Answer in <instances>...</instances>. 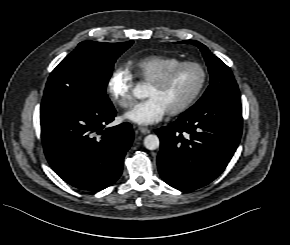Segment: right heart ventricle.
I'll return each instance as SVG.
<instances>
[{
  "label": "right heart ventricle",
  "instance_id": "1",
  "mask_svg": "<svg viewBox=\"0 0 290 245\" xmlns=\"http://www.w3.org/2000/svg\"><path fill=\"white\" fill-rule=\"evenodd\" d=\"M179 62H181V60L173 56L151 55L129 61L127 63V69L132 76L140 81L149 82L161 71Z\"/></svg>",
  "mask_w": 290,
  "mask_h": 245
}]
</instances>
